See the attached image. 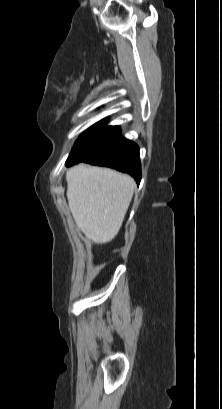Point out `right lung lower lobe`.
<instances>
[{"mask_svg": "<svg viewBox=\"0 0 222 409\" xmlns=\"http://www.w3.org/2000/svg\"><path fill=\"white\" fill-rule=\"evenodd\" d=\"M81 162L106 166L128 173L134 177L137 184L141 180L139 148L134 142L120 136V130L116 126L112 129L103 147ZM74 164L77 163H66V166Z\"/></svg>", "mask_w": 222, "mask_h": 409, "instance_id": "98d812e1", "label": "right lung lower lobe"}]
</instances>
